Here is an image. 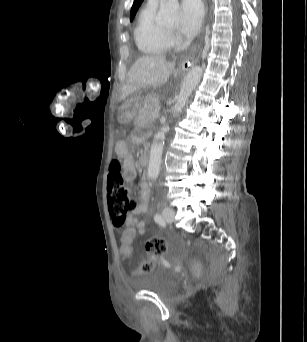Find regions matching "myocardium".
Segmentation results:
<instances>
[{"mask_svg":"<svg viewBox=\"0 0 307 342\" xmlns=\"http://www.w3.org/2000/svg\"><path fill=\"white\" fill-rule=\"evenodd\" d=\"M159 32V38L161 41V44L168 52H176L180 49V46L177 44V42L173 39L172 36L166 35L161 28L158 30Z\"/></svg>","mask_w":307,"mask_h":342,"instance_id":"obj_1","label":"myocardium"}]
</instances>
